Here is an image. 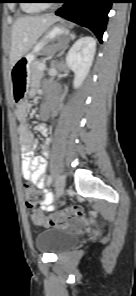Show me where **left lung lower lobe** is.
Instances as JSON below:
<instances>
[{
	"label": "left lung lower lobe",
	"instance_id": "obj_1",
	"mask_svg": "<svg viewBox=\"0 0 136 296\" xmlns=\"http://www.w3.org/2000/svg\"><path fill=\"white\" fill-rule=\"evenodd\" d=\"M56 15L89 28L102 43L113 0H64Z\"/></svg>",
	"mask_w": 136,
	"mask_h": 296
}]
</instances>
